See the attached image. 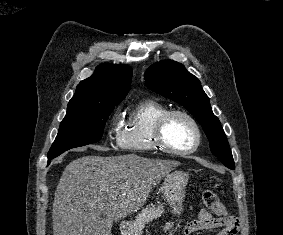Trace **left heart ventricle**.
<instances>
[{
	"label": "left heart ventricle",
	"instance_id": "obj_1",
	"mask_svg": "<svg viewBox=\"0 0 283 235\" xmlns=\"http://www.w3.org/2000/svg\"><path fill=\"white\" fill-rule=\"evenodd\" d=\"M166 143L173 149L186 150L193 146L196 134L191 123L181 116L172 117L164 129Z\"/></svg>",
	"mask_w": 283,
	"mask_h": 235
}]
</instances>
